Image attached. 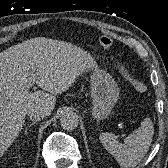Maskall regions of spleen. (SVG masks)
I'll use <instances>...</instances> for the list:
<instances>
[{
	"label": "spleen",
	"instance_id": "3e777b00",
	"mask_svg": "<svg viewBox=\"0 0 168 168\" xmlns=\"http://www.w3.org/2000/svg\"><path fill=\"white\" fill-rule=\"evenodd\" d=\"M153 134V122L150 118H145L141 127L129 134L124 143H119L117 136L108 132L100 134L99 140L121 168H133L148 152Z\"/></svg>",
	"mask_w": 168,
	"mask_h": 168
}]
</instances>
